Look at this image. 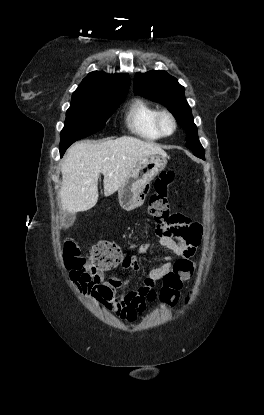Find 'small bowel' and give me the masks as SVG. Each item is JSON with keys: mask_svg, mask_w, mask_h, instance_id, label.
<instances>
[{"mask_svg": "<svg viewBox=\"0 0 264 415\" xmlns=\"http://www.w3.org/2000/svg\"><path fill=\"white\" fill-rule=\"evenodd\" d=\"M168 227L171 229L170 234L162 236L160 239L161 245L169 253L164 262L148 272L142 286L128 289L121 300H118L117 294L119 289L126 286V283L116 276L105 278L104 270L72 274V279L104 304L114 315L124 321H135L137 316L146 309L150 301L149 296L154 293L156 283L172 271L176 262L185 260L194 253L196 243L202 233L199 224L183 215H173ZM150 246L149 243L144 244L137 249L136 254L127 255L121 262V267L139 270L137 255L144 253Z\"/></svg>", "mask_w": 264, "mask_h": 415, "instance_id": "c3829d8e", "label": "small bowel"}]
</instances>
